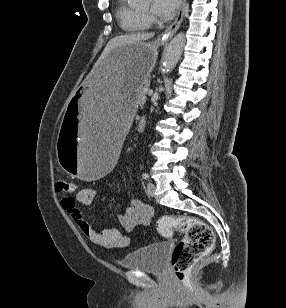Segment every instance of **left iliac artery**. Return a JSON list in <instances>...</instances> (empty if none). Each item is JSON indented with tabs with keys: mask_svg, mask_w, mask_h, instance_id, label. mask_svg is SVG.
<instances>
[{
	"mask_svg": "<svg viewBox=\"0 0 286 308\" xmlns=\"http://www.w3.org/2000/svg\"><path fill=\"white\" fill-rule=\"evenodd\" d=\"M142 178L145 179V180H148L149 179V174L148 173H143L142 174Z\"/></svg>",
	"mask_w": 286,
	"mask_h": 308,
	"instance_id": "44dca946",
	"label": "left iliac artery"
}]
</instances>
